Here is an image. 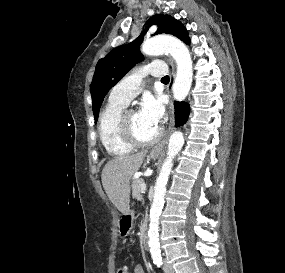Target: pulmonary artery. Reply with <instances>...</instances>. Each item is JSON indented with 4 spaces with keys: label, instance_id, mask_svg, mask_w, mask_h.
<instances>
[{
    "label": "pulmonary artery",
    "instance_id": "1",
    "mask_svg": "<svg viewBox=\"0 0 285 273\" xmlns=\"http://www.w3.org/2000/svg\"><path fill=\"white\" fill-rule=\"evenodd\" d=\"M167 65L162 61H152L139 68L135 73L121 80L111 91L110 101L128 104L140 90L142 78L146 75L164 77L167 74Z\"/></svg>",
    "mask_w": 285,
    "mask_h": 273
}]
</instances>
